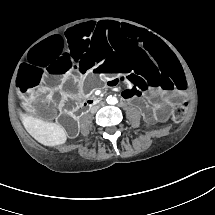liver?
<instances>
[{"label": "liver", "mask_w": 215, "mask_h": 215, "mask_svg": "<svg viewBox=\"0 0 215 215\" xmlns=\"http://www.w3.org/2000/svg\"><path fill=\"white\" fill-rule=\"evenodd\" d=\"M22 123L27 132L39 143L46 146L64 144L67 140L64 128L32 116L21 114Z\"/></svg>", "instance_id": "obj_1"}]
</instances>
